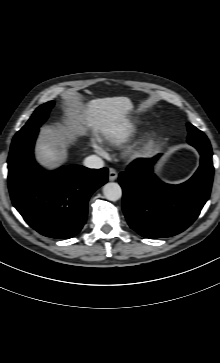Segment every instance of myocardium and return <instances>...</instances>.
<instances>
[{"label": "myocardium", "mask_w": 220, "mask_h": 363, "mask_svg": "<svg viewBox=\"0 0 220 363\" xmlns=\"http://www.w3.org/2000/svg\"><path fill=\"white\" fill-rule=\"evenodd\" d=\"M151 148V141L149 139H142L130 146L126 152L129 159L135 161L144 158Z\"/></svg>", "instance_id": "myocardium-1"}]
</instances>
